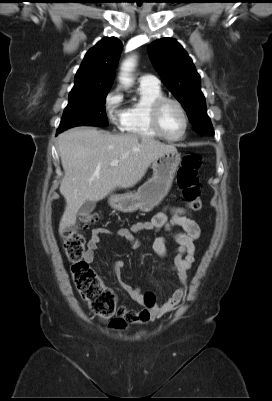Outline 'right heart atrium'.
I'll list each match as a JSON object with an SVG mask.
<instances>
[{
	"instance_id": "1",
	"label": "right heart atrium",
	"mask_w": 272,
	"mask_h": 401,
	"mask_svg": "<svg viewBox=\"0 0 272 401\" xmlns=\"http://www.w3.org/2000/svg\"><path fill=\"white\" fill-rule=\"evenodd\" d=\"M123 95L119 88L109 91L104 99V110L108 120L117 127H120L124 118L122 108Z\"/></svg>"
}]
</instances>
